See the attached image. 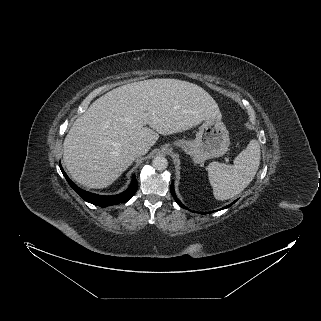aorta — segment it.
Segmentation results:
<instances>
[{"label":"aorta","instance_id":"1","mask_svg":"<svg viewBox=\"0 0 321 321\" xmlns=\"http://www.w3.org/2000/svg\"><path fill=\"white\" fill-rule=\"evenodd\" d=\"M152 165L156 170H164L167 168L168 166V161L164 156H156L153 160H152Z\"/></svg>","mask_w":321,"mask_h":321}]
</instances>
